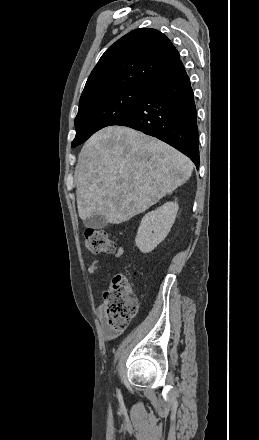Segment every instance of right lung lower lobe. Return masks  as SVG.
Wrapping results in <instances>:
<instances>
[{
    "label": "right lung lower lobe",
    "instance_id": "obj_1",
    "mask_svg": "<svg viewBox=\"0 0 259 440\" xmlns=\"http://www.w3.org/2000/svg\"><path fill=\"white\" fill-rule=\"evenodd\" d=\"M112 125L156 137L188 156L199 168L194 94L181 61L149 86L133 109Z\"/></svg>",
    "mask_w": 259,
    "mask_h": 440
}]
</instances>
